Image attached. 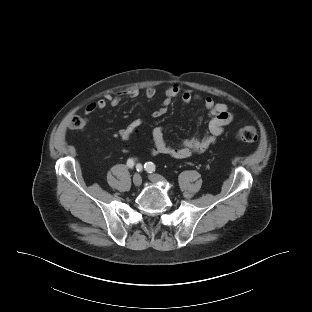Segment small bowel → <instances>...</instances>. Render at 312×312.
Segmentation results:
<instances>
[{
    "label": "small bowel",
    "mask_w": 312,
    "mask_h": 312,
    "mask_svg": "<svg viewBox=\"0 0 312 312\" xmlns=\"http://www.w3.org/2000/svg\"><path fill=\"white\" fill-rule=\"evenodd\" d=\"M157 90L150 86L145 90L147 98L155 97ZM139 95L138 89H128L115 94L105 95L103 98L89 103L85 108V114L91 115L96 110H103L108 105L116 106L125 99L135 98ZM180 97L183 104H189L192 101H201L205 109L209 112V121L206 131L201 135H194L185 139L181 145L174 146L165 140L164 131L161 126H155L152 129L153 146L151 153L153 155L162 154L176 159H186L194 154L202 153L207 150L223 133L225 127L233 120V114L224 103L217 102L210 96L202 97L189 89H184L178 84H172L166 88L165 98L161 105L152 112L154 118L165 114L172 101ZM142 125V120L136 118L127 126L119 130L120 138L127 142L133 133Z\"/></svg>",
    "instance_id": "small-bowel-1"
}]
</instances>
